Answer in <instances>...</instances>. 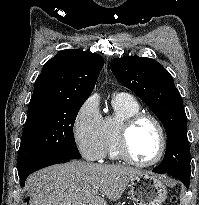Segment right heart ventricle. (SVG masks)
<instances>
[{"label": "right heart ventricle", "mask_w": 199, "mask_h": 205, "mask_svg": "<svg viewBox=\"0 0 199 205\" xmlns=\"http://www.w3.org/2000/svg\"><path fill=\"white\" fill-rule=\"evenodd\" d=\"M114 113L102 120L104 136V156L111 160H119L117 150V133L120 123L127 116L140 112V105L136 99L125 93H117L112 99Z\"/></svg>", "instance_id": "obj_1"}]
</instances>
